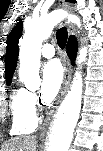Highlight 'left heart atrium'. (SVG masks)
<instances>
[{"instance_id": "39dd6f15", "label": "left heart atrium", "mask_w": 103, "mask_h": 151, "mask_svg": "<svg viewBox=\"0 0 103 151\" xmlns=\"http://www.w3.org/2000/svg\"><path fill=\"white\" fill-rule=\"evenodd\" d=\"M63 81V71L58 61L47 63L42 71L40 96L43 103L48 104L57 96Z\"/></svg>"}]
</instances>
